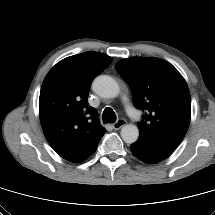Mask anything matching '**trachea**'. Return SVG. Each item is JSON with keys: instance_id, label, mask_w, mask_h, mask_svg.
<instances>
[{"instance_id": "3493384b", "label": "trachea", "mask_w": 215, "mask_h": 215, "mask_svg": "<svg viewBox=\"0 0 215 215\" xmlns=\"http://www.w3.org/2000/svg\"><path fill=\"white\" fill-rule=\"evenodd\" d=\"M102 119L104 123H114L116 121V115L111 108L107 107L103 111Z\"/></svg>"}]
</instances>
